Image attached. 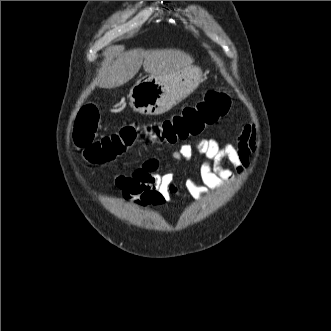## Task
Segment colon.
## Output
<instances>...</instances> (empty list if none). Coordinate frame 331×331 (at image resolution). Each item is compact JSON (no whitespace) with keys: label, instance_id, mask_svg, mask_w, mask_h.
I'll return each instance as SVG.
<instances>
[{"label":"colon","instance_id":"1","mask_svg":"<svg viewBox=\"0 0 331 331\" xmlns=\"http://www.w3.org/2000/svg\"><path fill=\"white\" fill-rule=\"evenodd\" d=\"M231 106V97L222 91H209L195 106L156 124H131L119 131L97 138L99 111L93 104L84 105L75 121L73 138L82 157L92 164H105L128 150L145 136L165 144L199 135L206 127L224 117Z\"/></svg>","mask_w":331,"mask_h":331}]
</instances>
